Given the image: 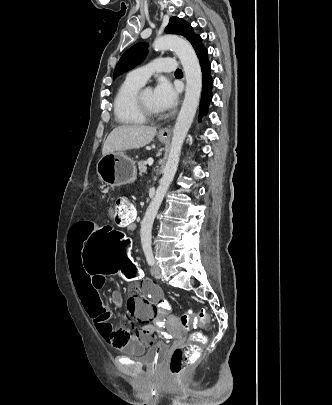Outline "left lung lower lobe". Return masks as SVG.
Wrapping results in <instances>:
<instances>
[{"label": "left lung lower lobe", "mask_w": 332, "mask_h": 405, "mask_svg": "<svg viewBox=\"0 0 332 405\" xmlns=\"http://www.w3.org/2000/svg\"><path fill=\"white\" fill-rule=\"evenodd\" d=\"M201 69H202V76H203V89H202V96H201V103H200V114L199 120L207 114L209 104L212 100V86H213V79L211 77V64L208 61V51L203 46L196 52Z\"/></svg>", "instance_id": "0a47b994"}]
</instances>
